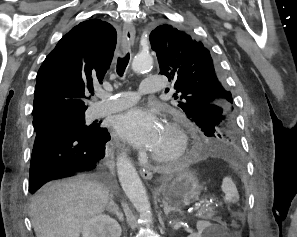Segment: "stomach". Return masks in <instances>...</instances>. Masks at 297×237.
<instances>
[{
  "label": "stomach",
  "mask_w": 297,
  "mask_h": 237,
  "mask_svg": "<svg viewBox=\"0 0 297 237\" xmlns=\"http://www.w3.org/2000/svg\"><path fill=\"white\" fill-rule=\"evenodd\" d=\"M202 185L189 170L180 172L162 188L163 202L174 207L188 206L199 200Z\"/></svg>",
  "instance_id": "1"
}]
</instances>
